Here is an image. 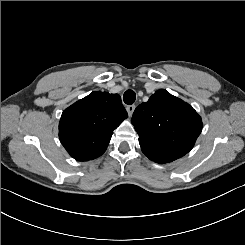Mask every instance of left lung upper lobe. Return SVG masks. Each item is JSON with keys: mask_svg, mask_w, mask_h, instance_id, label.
<instances>
[{"mask_svg": "<svg viewBox=\"0 0 245 245\" xmlns=\"http://www.w3.org/2000/svg\"><path fill=\"white\" fill-rule=\"evenodd\" d=\"M131 122L142 152L157 163L187 154L202 130L201 117L192 106L164 89L140 104Z\"/></svg>", "mask_w": 245, "mask_h": 245, "instance_id": "1", "label": "left lung upper lobe"}]
</instances>
